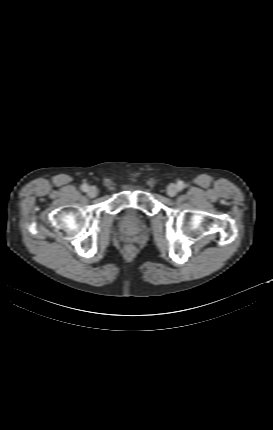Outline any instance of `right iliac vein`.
Returning a JSON list of instances; mask_svg holds the SVG:
<instances>
[{
	"mask_svg": "<svg viewBox=\"0 0 273 430\" xmlns=\"http://www.w3.org/2000/svg\"><path fill=\"white\" fill-rule=\"evenodd\" d=\"M87 194L89 197L94 198L97 195V188L94 186L89 187Z\"/></svg>",
	"mask_w": 273,
	"mask_h": 430,
	"instance_id": "1",
	"label": "right iliac vein"
}]
</instances>
